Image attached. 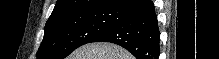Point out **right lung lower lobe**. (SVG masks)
<instances>
[{
  "label": "right lung lower lobe",
  "mask_w": 219,
  "mask_h": 59,
  "mask_svg": "<svg viewBox=\"0 0 219 59\" xmlns=\"http://www.w3.org/2000/svg\"><path fill=\"white\" fill-rule=\"evenodd\" d=\"M113 9L120 15V20L92 42L115 43L137 59H158L160 33L151 0H123Z\"/></svg>",
  "instance_id": "98d812e1"
}]
</instances>
